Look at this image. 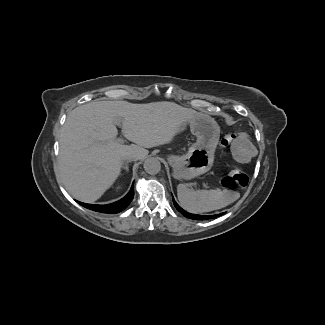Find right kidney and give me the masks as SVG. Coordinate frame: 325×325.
Listing matches in <instances>:
<instances>
[{
	"instance_id": "right-kidney-1",
	"label": "right kidney",
	"mask_w": 325,
	"mask_h": 325,
	"mask_svg": "<svg viewBox=\"0 0 325 325\" xmlns=\"http://www.w3.org/2000/svg\"><path fill=\"white\" fill-rule=\"evenodd\" d=\"M121 189H122L121 186H117V187H115V190H116V191L121 190Z\"/></svg>"
}]
</instances>
